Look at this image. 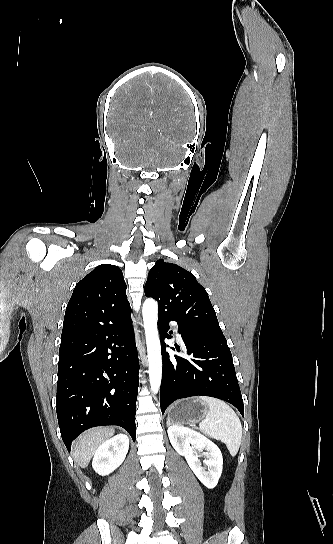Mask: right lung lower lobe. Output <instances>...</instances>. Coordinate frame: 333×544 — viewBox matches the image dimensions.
<instances>
[{
	"instance_id": "right-lung-lower-lobe-1",
	"label": "right lung lower lobe",
	"mask_w": 333,
	"mask_h": 544,
	"mask_svg": "<svg viewBox=\"0 0 333 544\" xmlns=\"http://www.w3.org/2000/svg\"><path fill=\"white\" fill-rule=\"evenodd\" d=\"M139 361L131 313L61 339L56 410L68 451L88 428L118 425L136 438Z\"/></svg>"
}]
</instances>
